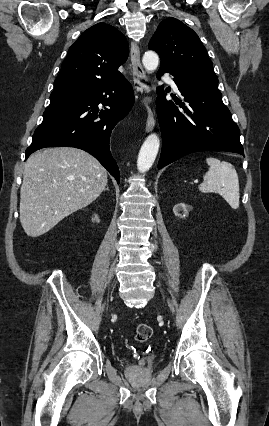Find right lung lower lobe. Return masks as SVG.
Here are the masks:
<instances>
[{
	"instance_id": "right-lung-lower-lobe-1",
	"label": "right lung lower lobe",
	"mask_w": 269,
	"mask_h": 426,
	"mask_svg": "<svg viewBox=\"0 0 269 426\" xmlns=\"http://www.w3.org/2000/svg\"><path fill=\"white\" fill-rule=\"evenodd\" d=\"M107 95L110 101L105 98ZM99 103L110 109L99 111ZM133 104V90L125 78L109 86L82 91L75 102L44 112L43 121L26 149V159L45 147L79 148L93 155L119 183V169L109 147L110 135Z\"/></svg>"
}]
</instances>
